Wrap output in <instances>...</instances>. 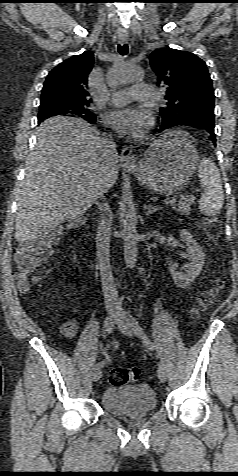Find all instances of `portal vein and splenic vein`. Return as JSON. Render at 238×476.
Here are the masks:
<instances>
[{"instance_id": "portal-vein-and-splenic-vein-1", "label": "portal vein and splenic vein", "mask_w": 238, "mask_h": 476, "mask_svg": "<svg viewBox=\"0 0 238 476\" xmlns=\"http://www.w3.org/2000/svg\"><path fill=\"white\" fill-rule=\"evenodd\" d=\"M176 201H177V199H176L175 197H172V198H170L169 200H167V201L165 202V204H174Z\"/></svg>"}]
</instances>
